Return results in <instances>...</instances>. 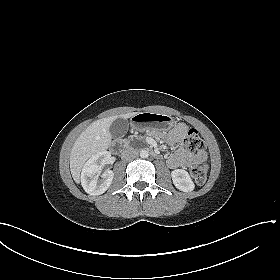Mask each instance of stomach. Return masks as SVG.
<instances>
[{"instance_id":"obj_1","label":"stomach","mask_w":280,"mask_h":280,"mask_svg":"<svg viewBox=\"0 0 280 280\" xmlns=\"http://www.w3.org/2000/svg\"><path fill=\"white\" fill-rule=\"evenodd\" d=\"M174 123L171 116L153 112H141L132 117V124L135 128L151 126L162 132L169 131Z\"/></svg>"}]
</instances>
